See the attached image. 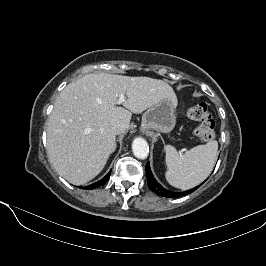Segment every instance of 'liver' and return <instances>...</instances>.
Listing matches in <instances>:
<instances>
[{"instance_id": "liver-1", "label": "liver", "mask_w": 266, "mask_h": 266, "mask_svg": "<svg viewBox=\"0 0 266 266\" xmlns=\"http://www.w3.org/2000/svg\"><path fill=\"white\" fill-rule=\"evenodd\" d=\"M121 93L127 96L126 109L116 106ZM166 98L177 105L173 88L150 77L90 73L68 84L56 99L47 122L50 163L74 185L89 182L115 151L111 123L122 120L128 128L132 113H142Z\"/></svg>"}]
</instances>
